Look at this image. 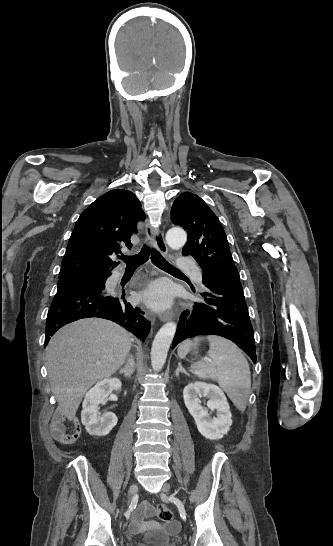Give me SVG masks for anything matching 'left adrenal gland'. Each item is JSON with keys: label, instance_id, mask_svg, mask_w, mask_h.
I'll list each match as a JSON object with an SVG mask.
<instances>
[{"label": "left adrenal gland", "instance_id": "1", "mask_svg": "<svg viewBox=\"0 0 333 546\" xmlns=\"http://www.w3.org/2000/svg\"><path fill=\"white\" fill-rule=\"evenodd\" d=\"M185 373L186 375L189 376V374L184 370V368L182 367L181 363H178V368L176 370V376L178 377L179 376V373Z\"/></svg>", "mask_w": 333, "mask_h": 546}]
</instances>
